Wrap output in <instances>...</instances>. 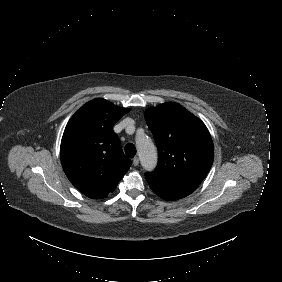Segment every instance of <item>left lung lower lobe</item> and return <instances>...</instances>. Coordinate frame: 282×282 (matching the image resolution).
I'll return each instance as SVG.
<instances>
[{
  "label": "left lung lower lobe",
  "instance_id": "left-lung-lower-lobe-1",
  "mask_svg": "<svg viewBox=\"0 0 282 282\" xmlns=\"http://www.w3.org/2000/svg\"><path fill=\"white\" fill-rule=\"evenodd\" d=\"M145 177L153 192L165 200L184 198L198 187L196 184L160 179L151 173H145Z\"/></svg>",
  "mask_w": 282,
  "mask_h": 282
}]
</instances>
